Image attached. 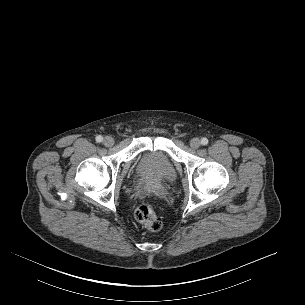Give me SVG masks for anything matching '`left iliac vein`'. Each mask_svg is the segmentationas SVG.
<instances>
[{
	"label": "left iliac vein",
	"mask_w": 305,
	"mask_h": 305,
	"mask_svg": "<svg viewBox=\"0 0 305 305\" xmlns=\"http://www.w3.org/2000/svg\"><path fill=\"white\" fill-rule=\"evenodd\" d=\"M200 145H201V142H200V140L198 138L191 139V141H190L191 148L197 149V148L200 147Z\"/></svg>",
	"instance_id": "left-iliac-vein-1"
}]
</instances>
